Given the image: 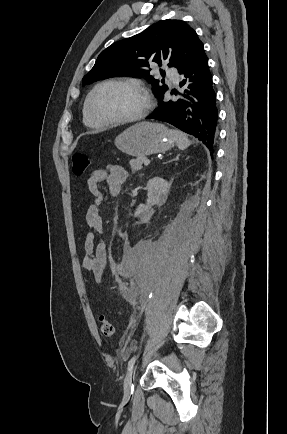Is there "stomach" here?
<instances>
[{"label": "stomach", "instance_id": "stomach-1", "mask_svg": "<svg viewBox=\"0 0 287 434\" xmlns=\"http://www.w3.org/2000/svg\"><path fill=\"white\" fill-rule=\"evenodd\" d=\"M174 143L173 136L163 124L145 121L129 127L115 139L116 147L133 157L166 152Z\"/></svg>", "mask_w": 287, "mask_h": 434}]
</instances>
